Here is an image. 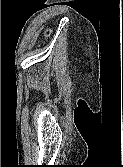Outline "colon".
<instances>
[{
    "label": "colon",
    "mask_w": 123,
    "mask_h": 167,
    "mask_svg": "<svg viewBox=\"0 0 123 167\" xmlns=\"http://www.w3.org/2000/svg\"><path fill=\"white\" fill-rule=\"evenodd\" d=\"M46 37H49L51 35V31L50 30H47L46 33H45Z\"/></svg>",
    "instance_id": "colon-1"
}]
</instances>
